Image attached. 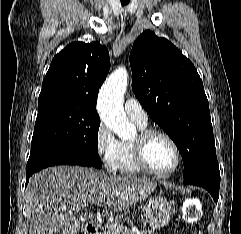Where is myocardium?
<instances>
[{
	"label": "myocardium",
	"instance_id": "myocardium-1",
	"mask_svg": "<svg viewBox=\"0 0 241 234\" xmlns=\"http://www.w3.org/2000/svg\"><path fill=\"white\" fill-rule=\"evenodd\" d=\"M154 136H162L165 139H167L171 145L173 146L175 153H176V161L174 166L167 171H157L153 169L150 164L148 163L147 160V155H146V150L149 141L154 137ZM134 144V155H135V160L140 167V169L152 176L155 177H168L172 174H174L182 160V153L179 144L177 141L174 139L172 135H170L168 132L158 129V128H145L140 130L139 134L133 141Z\"/></svg>",
	"mask_w": 241,
	"mask_h": 234
}]
</instances>
